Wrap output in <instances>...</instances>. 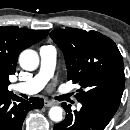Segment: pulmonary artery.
<instances>
[{
  "mask_svg": "<svg viewBox=\"0 0 130 130\" xmlns=\"http://www.w3.org/2000/svg\"><path fill=\"white\" fill-rule=\"evenodd\" d=\"M41 63L38 73L31 79L13 85V89L26 94H36L52 77L56 64V49L53 46H42L39 50Z\"/></svg>",
  "mask_w": 130,
  "mask_h": 130,
  "instance_id": "obj_1",
  "label": "pulmonary artery"
}]
</instances>
